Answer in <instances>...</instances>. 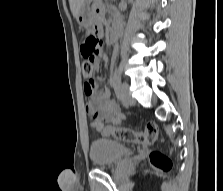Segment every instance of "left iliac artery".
I'll return each mask as SVG.
<instances>
[{
	"instance_id": "obj_1",
	"label": "left iliac artery",
	"mask_w": 223,
	"mask_h": 191,
	"mask_svg": "<svg viewBox=\"0 0 223 191\" xmlns=\"http://www.w3.org/2000/svg\"><path fill=\"white\" fill-rule=\"evenodd\" d=\"M120 84H121V79H120L118 71L116 70L114 74V78H113V85L118 97H120V94H119Z\"/></svg>"
}]
</instances>
